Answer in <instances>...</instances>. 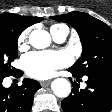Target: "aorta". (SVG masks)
Here are the masks:
<instances>
[{
	"mask_svg": "<svg viewBox=\"0 0 112 112\" xmlns=\"http://www.w3.org/2000/svg\"><path fill=\"white\" fill-rule=\"evenodd\" d=\"M29 43L36 49L47 48L51 43V37L45 30H33L29 35ZM51 89L60 98H66L71 92V84L64 78H57L52 81Z\"/></svg>",
	"mask_w": 112,
	"mask_h": 112,
	"instance_id": "obj_1",
	"label": "aorta"
}]
</instances>
